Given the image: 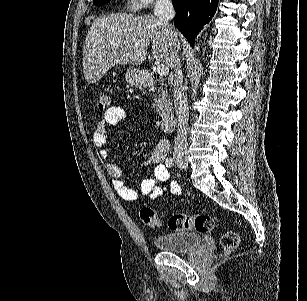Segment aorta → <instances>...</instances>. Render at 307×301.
<instances>
[{"mask_svg": "<svg viewBox=\"0 0 307 301\" xmlns=\"http://www.w3.org/2000/svg\"><path fill=\"white\" fill-rule=\"evenodd\" d=\"M195 50H200V46H199L198 42H196V44H195Z\"/></svg>", "mask_w": 307, "mask_h": 301, "instance_id": "762f6f07", "label": "aorta"}]
</instances>
